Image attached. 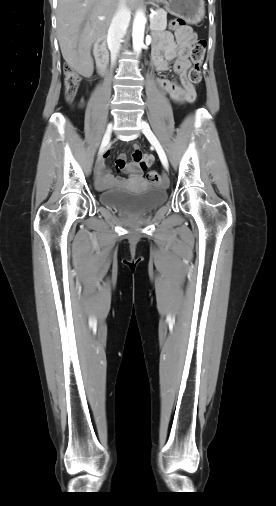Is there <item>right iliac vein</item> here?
<instances>
[{"mask_svg": "<svg viewBox=\"0 0 276 506\" xmlns=\"http://www.w3.org/2000/svg\"><path fill=\"white\" fill-rule=\"evenodd\" d=\"M112 128H113V125L109 124L108 127H107V129H106V132L104 134V137H103V140H102V143H101V146H100V150H99V154L100 155L103 153L105 146L108 144V142L110 140Z\"/></svg>", "mask_w": 276, "mask_h": 506, "instance_id": "obj_1", "label": "right iliac vein"}]
</instances>
